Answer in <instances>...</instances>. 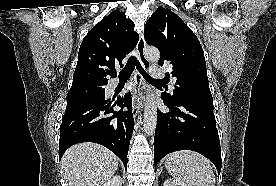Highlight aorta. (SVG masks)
<instances>
[{
    "label": "aorta",
    "mask_w": 276,
    "mask_h": 186,
    "mask_svg": "<svg viewBox=\"0 0 276 186\" xmlns=\"http://www.w3.org/2000/svg\"><path fill=\"white\" fill-rule=\"evenodd\" d=\"M145 56L151 62H157L160 59V52L154 47L145 49ZM157 125V106L155 102V94L150 92L147 94L144 109L143 130L146 135H152Z\"/></svg>",
    "instance_id": "762f6f07"
}]
</instances>
